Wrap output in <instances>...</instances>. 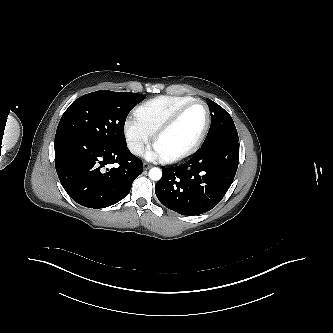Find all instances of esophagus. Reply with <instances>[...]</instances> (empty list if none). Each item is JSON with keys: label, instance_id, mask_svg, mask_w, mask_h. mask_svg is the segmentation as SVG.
<instances>
[{"label": "esophagus", "instance_id": "1", "mask_svg": "<svg viewBox=\"0 0 333 333\" xmlns=\"http://www.w3.org/2000/svg\"><path fill=\"white\" fill-rule=\"evenodd\" d=\"M151 168V165H149V164H147V163H144L143 164V169L144 170H148V169H150Z\"/></svg>", "mask_w": 333, "mask_h": 333}]
</instances>
